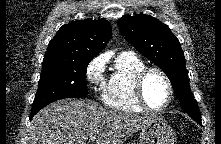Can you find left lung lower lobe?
<instances>
[{
    "label": "left lung lower lobe",
    "instance_id": "1",
    "mask_svg": "<svg viewBox=\"0 0 221 144\" xmlns=\"http://www.w3.org/2000/svg\"><path fill=\"white\" fill-rule=\"evenodd\" d=\"M196 122H198L200 125L202 124L201 119H194Z\"/></svg>",
    "mask_w": 221,
    "mask_h": 144
}]
</instances>
